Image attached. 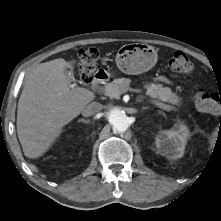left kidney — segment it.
Masks as SVG:
<instances>
[{"instance_id": "1", "label": "left kidney", "mask_w": 221, "mask_h": 221, "mask_svg": "<svg viewBox=\"0 0 221 221\" xmlns=\"http://www.w3.org/2000/svg\"><path fill=\"white\" fill-rule=\"evenodd\" d=\"M189 137V129L181 122L174 124L171 130L160 131L155 143L159 153L168 159L181 158Z\"/></svg>"}]
</instances>
